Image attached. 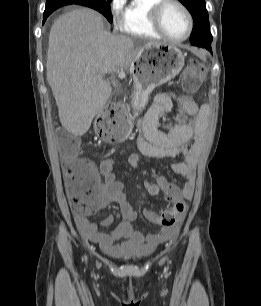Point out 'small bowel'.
<instances>
[{"mask_svg": "<svg viewBox=\"0 0 261 306\" xmlns=\"http://www.w3.org/2000/svg\"><path fill=\"white\" fill-rule=\"evenodd\" d=\"M174 104H179L189 119L186 123L177 124L169 132L159 129L160 119L169 113ZM207 107H199L197 103L187 97L179 96L173 92L158 93L154 97L152 106L138 119L137 151L128 157L130 167H141V157L151 159H181V162L172 165L175 174L183 177L181 185L169 182L163 177L155 181H146L144 187L150 195L163 192L168 201L191 199L193 195L194 166L205 146L204 118ZM88 162L85 159L74 157L71 161L64 159L63 170L67 174L72 165ZM89 163V162H88ZM114 157H105L100 163L102 179H97L93 206L86 212H77L75 220L82 235L90 242L97 244L100 249L110 256H122L127 253H147L157 244L173 239L179 229L183 218L180 215L178 222L172 226L164 227L159 233L144 237L133 226L136 212L126 201L124 184L116 179L113 171ZM116 203L122 215V221L111 232L98 230L97 224L88 218ZM145 217L153 222L157 213L145 210ZM114 221L113 216H107L101 221L103 227H109Z\"/></svg>", "mask_w": 261, "mask_h": 306, "instance_id": "1", "label": "small bowel"}]
</instances>
